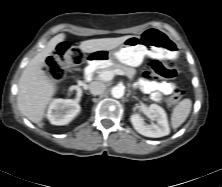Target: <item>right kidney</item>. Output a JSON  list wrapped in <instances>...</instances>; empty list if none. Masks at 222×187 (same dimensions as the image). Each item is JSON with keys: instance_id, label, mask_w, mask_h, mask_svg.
I'll use <instances>...</instances> for the list:
<instances>
[{"instance_id": "ca27d5eb", "label": "right kidney", "mask_w": 222, "mask_h": 187, "mask_svg": "<svg viewBox=\"0 0 222 187\" xmlns=\"http://www.w3.org/2000/svg\"><path fill=\"white\" fill-rule=\"evenodd\" d=\"M78 101L73 99H55L47 111V118L53 125H66L80 112Z\"/></svg>"}]
</instances>
